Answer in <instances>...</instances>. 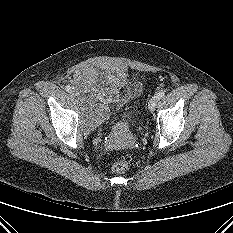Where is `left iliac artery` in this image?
<instances>
[{
	"instance_id": "left-iliac-artery-1",
	"label": "left iliac artery",
	"mask_w": 233,
	"mask_h": 233,
	"mask_svg": "<svg viewBox=\"0 0 233 233\" xmlns=\"http://www.w3.org/2000/svg\"><path fill=\"white\" fill-rule=\"evenodd\" d=\"M164 95H165V91L161 90V91H159L158 93H156L154 97H155L157 100H159V99H161L162 97H164Z\"/></svg>"
}]
</instances>
